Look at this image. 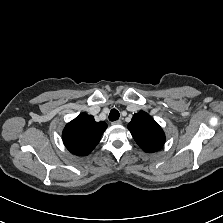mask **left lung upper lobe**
Returning <instances> with one entry per match:
<instances>
[{
	"instance_id": "obj_1",
	"label": "left lung upper lobe",
	"mask_w": 223,
	"mask_h": 223,
	"mask_svg": "<svg viewBox=\"0 0 223 223\" xmlns=\"http://www.w3.org/2000/svg\"><path fill=\"white\" fill-rule=\"evenodd\" d=\"M136 143L146 152H156L160 150L165 143V134L159 124L151 116L140 111L134 114L131 122L128 124Z\"/></svg>"
}]
</instances>
